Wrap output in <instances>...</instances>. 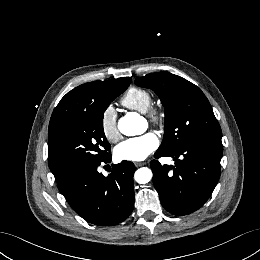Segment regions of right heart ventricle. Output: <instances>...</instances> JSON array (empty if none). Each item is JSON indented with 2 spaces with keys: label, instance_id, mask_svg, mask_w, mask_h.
I'll return each instance as SVG.
<instances>
[{
  "label": "right heart ventricle",
  "instance_id": "e07e8e85",
  "mask_svg": "<svg viewBox=\"0 0 260 260\" xmlns=\"http://www.w3.org/2000/svg\"><path fill=\"white\" fill-rule=\"evenodd\" d=\"M121 104L128 109L145 113L152 104V95L145 89L131 87L122 97Z\"/></svg>",
  "mask_w": 260,
  "mask_h": 260
}]
</instances>
